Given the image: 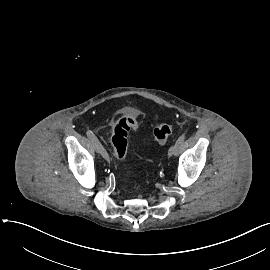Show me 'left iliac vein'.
Returning <instances> with one entry per match:
<instances>
[{
    "mask_svg": "<svg viewBox=\"0 0 270 270\" xmlns=\"http://www.w3.org/2000/svg\"><path fill=\"white\" fill-rule=\"evenodd\" d=\"M176 153V145H172L168 150V156L171 157Z\"/></svg>",
    "mask_w": 270,
    "mask_h": 270,
    "instance_id": "left-iliac-vein-1",
    "label": "left iliac vein"
}]
</instances>
